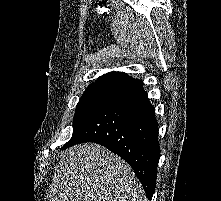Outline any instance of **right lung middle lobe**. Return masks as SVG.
<instances>
[{"mask_svg": "<svg viewBox=\"0 0 221 201\" xmlns=\"http://www.w3.org/2000/svg\"><path fill=\"white\" fill-rule=\"evenodd\" d=\"M118 89L95 87L87 88L81 96L74 115L73 134L74 136L87 120L109 99Z\"/></svg>", "mask_w": 221, "mask_h": 201, "instance_id": "dd1d6c3e", "label": "right lung middle lobe"}]
</instances>
